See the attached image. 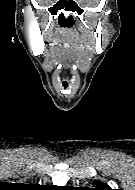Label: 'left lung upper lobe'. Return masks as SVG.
<instances>
[{"label": "left lung upper lobe", "instance_id": "obj_1", "mask_svg": "<svg viewBox=\"0 0 135 190\" xmlns=\"http://www.w3.org/2000/svg\"><path fill=\"white\" fill-rule=\"evenodd\" d=\"M95 184L98 186L97 190H113L110 186L99 180H95Z\"/></svg>", "mask_w": 135, "mask_h": 190}]
</instances>
